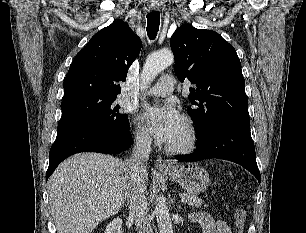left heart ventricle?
Wrapping results in <instances>:
<instances>
[{
  "mask_svg": "<svg viewBox=\"0 0 306 233\" xmlns=\"http://www.w3.org/2000/svg\"><path fill=\"white\" fill-rule=\"evenodd\" d=\"M187 140H188V130L186 124L183 122L177 134L170 142H168V144L172 146H179L184 144Z\"/></svg>",
  "mask_w": 306,
  "mask_h": 233,
  "instance_id": "left-heart-ventricle-1",
  "label": "left heart ventricle"
}]
</instances>
